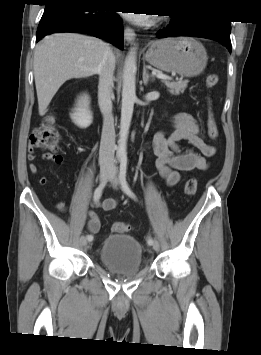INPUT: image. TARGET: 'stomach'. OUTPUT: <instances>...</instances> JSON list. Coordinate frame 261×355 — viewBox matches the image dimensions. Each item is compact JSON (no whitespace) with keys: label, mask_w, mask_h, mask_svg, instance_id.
Wrapping results in <instances>:
<instances>
[{"label":"stomach","mask_w":261,"mask_h":355,"mask_svg":"<svg viewBox=\"0 0 261 355\" xmlns=\"http://www.w3.org/2000/svg\"><path fill=\"white\" fill-rule=\"evenodd\" d=\"M145 59L161 71L194 77L203 72L208 57L199 41L191 37H176L152 42Z\"/></svg>","instance_id":"0dacf381"}]
</instances>
